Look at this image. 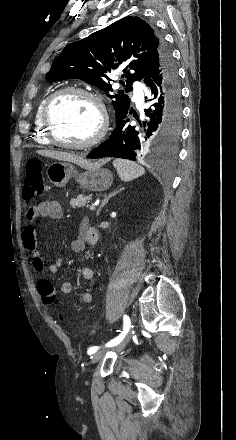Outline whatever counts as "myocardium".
<instances>
[{
    "label": "myocardium",
    "mask_w": 236,
    "mask_h": 440,
    "mask_svg": "<svg viewBox=\"0 0 236 440\" xmlns=\"http://www.w3.org/2000/svg\"><path fill=\"white\" fill-rule=\"evenodd\" d=\"M69 94L81 95L90 99L93 102V104L96 106L98 111V116H99L98 128L95 134L89 140L83 143L71 144V143L62 142L55 137L54 132L52 130V126L50 122L51 107L58 98ZM41 124L51 144L70 150H83V149H89L97 145L103 139L108 129L109 117L103 100L97 94L81 87L70 86V87L61 88L55 91L54 93H52L50 96H48V98L46 99L43 105V109L41 113Z\"/></svg>",
    "instance_id": "myocardium-1"
}]
</instances>
